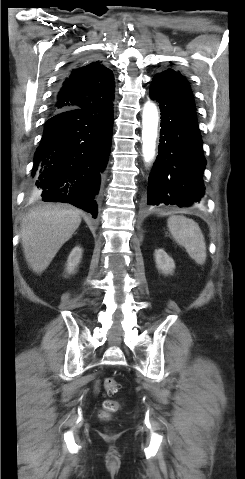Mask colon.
Instances as JSON below:
<instances>
[{
    "label": "colon",
    "instance_id": "colon-1",
    "mask_svg": "<svg viewBox=\"0 0 245 479\" xmlns=\"http://www.w3.org/2000/svg\"><path fill=\"white\" fill-rule=\"evenodd\" d=\"M103 388L107 394H116L120 390L119 383L113 378H105L103 381ZM120 405L117 401L107 400L103 404L102 415L106 417L110 413L116 412Z\"/></svg>",
    "mask_w": 245,
    "mask_h": 479
}]
</instances>
